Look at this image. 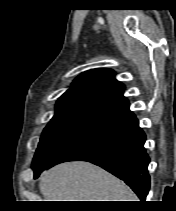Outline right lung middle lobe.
<instances>
[{
    "instance_id": "right-lung-middle-lobe-1",
    "label": "right lung middle lobe",
    "mask_w": 176,
    "mask_h": 211,
    "mask_svg": "<svg viewBox=\"0 0 176 211\" xmlns=\"http://www.w3.org/2000/svg\"><path fill=\"white\" fill-rule=\"evenodd\" d=\"M97 123L53 117L41 136L33 159V170L49 164L61 151L86 134Z\"/></svg>"
}]
</instances>
